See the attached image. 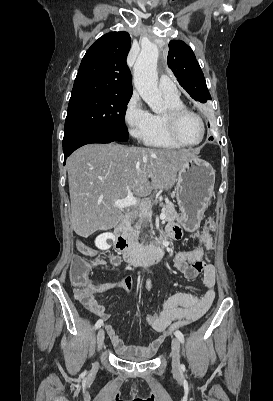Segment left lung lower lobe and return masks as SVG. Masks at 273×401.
Masks as SVG:
<instances>
[{
    "instance_id": "left-lung-lower-lobe-1",
    "label": "left lung lower lobe",
    "mask_w": 273,
    "mask_h": 401,
    "mask_svg": "<svg viewBox=\"0 0 273 401\" xmlns=\"http://www.w3.org/2000/svg\"><path fill=\"white\" fill-rule=\"evenodd\" d=\"M209 140H213V137H211Z\"/></svg>"
}]
</instances>
